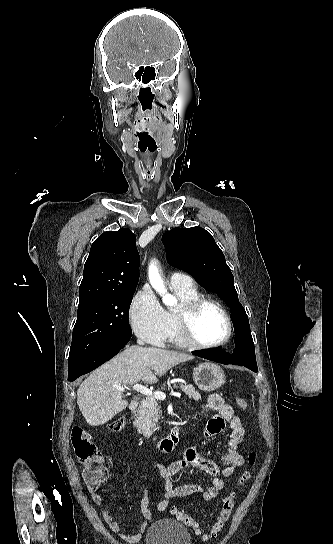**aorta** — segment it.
Segmentation results:
<instances>
[{
    "instance_id": "762f6f07",
    "label": "aorta",
    "mask_w": 333,
    "mask_h": 544,
    "mask_svg": "<svg viewBox=\"0 0 333 544\" xmlns=\"http://www.w3.org/2000/svg\"><path fill=\"white\" fill-rule=\"evenodd\" d=\"M149 282L158 294L162 296V301L167 306H173L176 304V298L169 294L164 286L163 279L159 273L157 266L152 263L149 267Z\"/></svg>"
}]
</instances>
